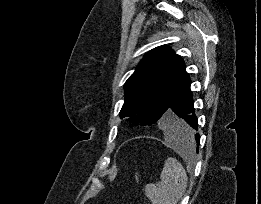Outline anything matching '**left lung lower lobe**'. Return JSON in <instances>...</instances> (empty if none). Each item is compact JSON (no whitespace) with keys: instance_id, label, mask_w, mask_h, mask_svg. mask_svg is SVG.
Here are the masks:
<instances>
[{"instance_id":"obj_1","label":"left lung lower lobe","mask_w":261,"mask_h":204,"mask_svg":"<svg viewBox=\"0 0 261 204\" xmlns=\"http://www.w3.org/2000/svg\"><path fill=\"white\" fill-rule=\"evenodd\" d=\"M190 84L191 80L188 76L176 93L162 126L177 141L187 143L192 138L197 143L198 152L200 136L195 133L198 129V119L195 115Z\"/></svg>"}]
</instances>
